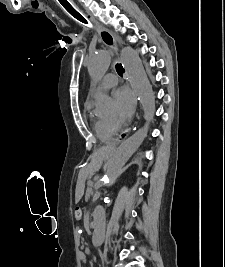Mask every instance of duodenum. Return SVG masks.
<instances>
[{
    "mask_svg": "<svg viewBox=\"0 0 225 267\" xmlns=\"http://www.w3.org/2000/svg\"><path fill=\"white\" fill-rule=\"evenodd\" d=\"M99 226H100V222H99L97 219H94V220L91 222V227H92V228L97 229Z\"/></svg>",
    "mask_w": 225,
    "mask_h": 267,
    "instance_id": "duodenum-1",
    "label": "duodenum"
}]
</instances>
